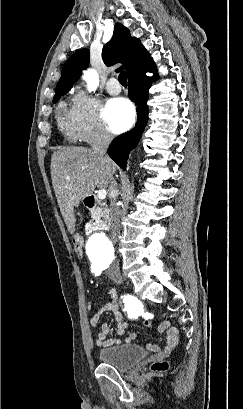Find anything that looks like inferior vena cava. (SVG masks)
<instances>
[{
  "label": "inferior vena cava",
  "instance_id": "1",
  "mask_svg": "<svg viewBox=\"0 0 243 409\" xmlns=\"http://www.w3.org/2000/svg\"><path fill=\"white\" fill-rule=\"evenodd\" d=\"M111 140H112V136L108 132L104 130L100 131L91 143L92 150L96 154L104 157L107 151V148L109 144L111 143ZM109 191H110V197H111L110 219H109L111 240L115 244L118 240V236L120 233V219H119L120 212H119V207L117 205V197L119 195V190L117 188V182L113 178V175L110 178ZM118 268H119V263L114 262L112 264V269L118 270Z\"/></svg>",
  "mask_w": 243,
  "mask_h": 409
}]
</instances>
